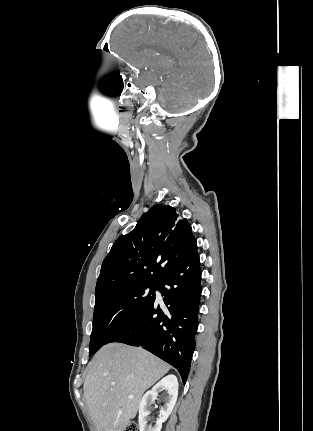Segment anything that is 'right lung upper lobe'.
Listing matches in <instances>:
<instances>
[{
	"instance_id": "right-lung-upper-lobe-1",
	"label": "right lung upper lobe",
	"mask_w": 313,
	"mask_h": 431,
	"mask_svg": "<svg viewBox=\"0 0 313 431\" xmlns=\"http://www.w3.org/2000/svg\"><path fill=\"white\" fill-rule=\"evenodd\" d=\"M194 239L191 225L174 207L153 206L131 232L113 244L101 266L95 301L132 286L157 285Z\"/></svg>"
}]
</instances>
